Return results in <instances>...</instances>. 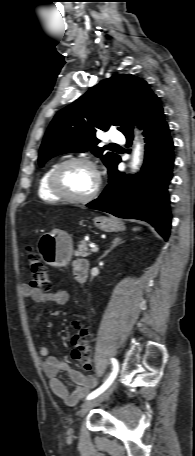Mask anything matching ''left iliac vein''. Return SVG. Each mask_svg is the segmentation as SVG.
I'll return each mask as SVG.
<instances>
[{"instance_id": "1", "label": "left iliac vein", "mask_w": 195, "mask_h": 456, "mask_svg": "<svg viewBox=\"0 0 195 456\" xmlns=\"http://www.w3.org/2000/svg\"><path fill=\"white\" fill-rule=\"evenodd\" d=\"M116 384H117V382L114 381L105 392H103L99 396L83 403L81 406V409L79 411L80 416H84L93 407H95V406L99 405L100 403H102L103 401H105L113 392L114 388L116 387Z\"/></svg>"}]
</instances>
